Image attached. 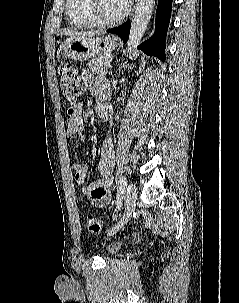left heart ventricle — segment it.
I'll use <instances>...</instances> for the list:
<instances>
[{"mask_svg":"<svg viewBox=\"0 0 239 303\" xmlns=\"http://www.w3.org/2000/svg\"><path fill=\"white\" fill-rule=\"evenodd\" d=\"M100 7L107 18H115L125 11L118 0H100Z\"/></svg>","mask_w":239,"mask_h":303,"instance_id":"left-heart-ventricle-1","label":"left heart ventricle"}]
</instances>
